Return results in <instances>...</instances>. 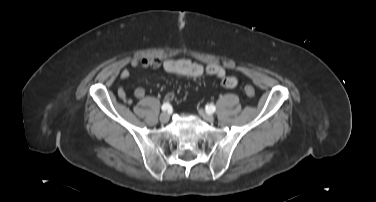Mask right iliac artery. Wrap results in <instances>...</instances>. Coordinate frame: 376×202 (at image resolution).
<instances>
[{
    "label": "right iliac artery",
    "mask_w": 376,
    "mask_h": 202,
    "mask_svg": "<svg viewBox=\"0 0 376 202\" xmlns=\"http://www.w3.org/2000/svg\"><path fill=\"white\" fill-rule=\"evenodd\" d=\"M161 108L163 111H166L171 108V105L169 103H164Z\"/></svg>",
    "instance_id": "1"
}]
</instances>
